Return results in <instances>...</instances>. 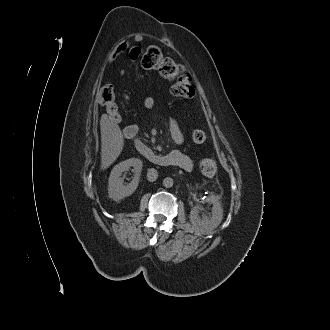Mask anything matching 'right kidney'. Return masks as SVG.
<instances>
[{"mask_svg": "<svg viewBox=\"0 0 330 330\" xmlns=\"http://www.w3.org/2000/svg\"><path fill=\"white\" fill-rule=\"evenodd\" d=\"M142 166V161L138 158H130L117 164L112 169L108 180L109 197L115 201H120L133 194L139 184ZM130 167H133L135 175L132 181L125 185L124 178L121 175Z\"/></svg>", "mask_w": 330, "mask_h": 330, "instance_id": "1", "label": "right kidney"}]
</instances>
